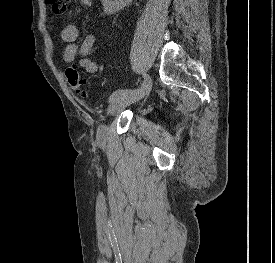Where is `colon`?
I'll return each instance as SVG.
<instances>
[{"label":"colon","mask_w":275,"mask_h":263,"mask_svg":"<svg viewBox=\"0 0 275 263\" xmlns=\"http://www.w3.org/2000/svg\"><path fill=\"white\" fill-rule=\"evenodd\" d=\"M55 13H64L67 8L68 0H46ZM65 77L72 90L79 96L86 98L88 96L85 89V81L81 77L77 67L70 65L65 69Z\"/></svg>","instance_id":"5ec220e1"}]
</instances>
